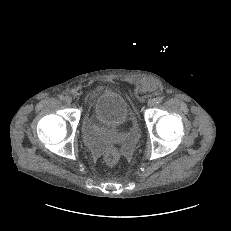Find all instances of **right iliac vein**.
I'll list each match as a JSON object with an SVG mask.
<instances>
[{"instance_id": "1", "label": "right iliac vein", "mask_w": 231, "mask_h": 231, "mask_svg": "<svg viewBox=\"0 0 231 231\" xmlns=\"http://www.w3.org/2000/svg\"><path fill=\"white\" fill-rule=\"evenodd\" d=\"M65 102L68 103V104H70V103L72 102V97L69 96V95L66 96V97H65Z\"/></svg>"}]
</instances>
